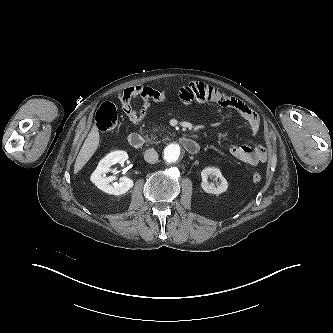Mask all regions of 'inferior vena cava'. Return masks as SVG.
Wrapping results in <instances>:
<instances>
[{
    "label": "inferior vena cava",
    "instance_id": "obj_1",
    "mask_svg": "<svg viewBox=\"0 0 333 333\" xmlns=\"http://www.w3.org/2000/svg\"><path fill=\"white\" fill-rule=\"evenodd\" d=\"M144 160L148 163L154 164L158 161V153L153 148L147 149L144 152Z\"/></svg>",
    "mask_w": 333,
    "mask_h": 333
}]
</instances>
